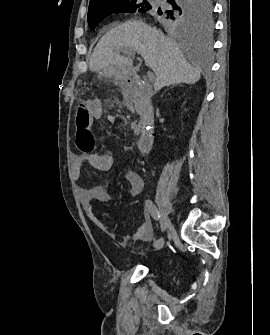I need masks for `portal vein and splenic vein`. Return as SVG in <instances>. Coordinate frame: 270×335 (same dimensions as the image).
I'll return each mask as SVG.
<instances>
[{"label":"portal vein and splenic vein","instance_id":"portal-vein-and-splenic-vein-1","mask_svg":"<svg viewBox=\"0 0 270 335\" xmlns=\"http://www.w3.org/2000/svg\"><path fill=\"white\" fill-rule=\"evenodd\" d=\"M126 52H128V54H134V50H126ZM123 64H128L127 60H124ZM130 66V64H129ZM154 79H155V76L153 75V72L152 71H149L148 72V80H147V83L149 85H152L154 83Z\"/></svg>","mask_w":270,"mask_h":335}]
</instances>
